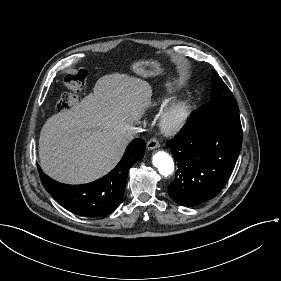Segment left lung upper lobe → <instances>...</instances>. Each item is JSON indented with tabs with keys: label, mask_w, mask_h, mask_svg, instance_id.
Segmentation results:
<instances>
[{
	"label": "left lung upper lobe",
	"mask_w": 281,
	"mask_h": 281,
	"mask_svg": "<svg viewBox=\"0 0 281 281\" xmlns=\"http://www.w3.org/2000/svg\"><path fill=\"white\" fill-rule=\"evenodd\" d=\"M199 114L233 112L239 113L237 102L222 79L213 70L211 100L201 106Z\"/></svg>",
	"instance_id": "obj_1"
}]
</instances>
